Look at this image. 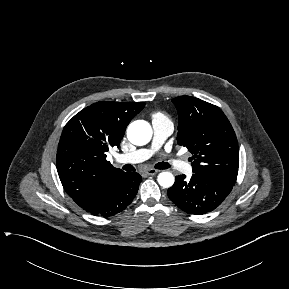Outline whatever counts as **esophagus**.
I'll use <instances>...</instances> for the list:
<instances>
[{
  "label": "esophagus",
  "instance_id": "esophagus-1",
  "mask_svg": "<svg viewBox=\"0 0 289 289\" xmlns=\"http://www.w3.org/2000/svg\"><path fill=\"white\" fill-rule=\"evenodd\" d=\"M159 171L156 169H148L145 171L147 175H156Z\"/></svg>",
  "mask_w": 289,
  "mask_h": 289
}]
</instances>
